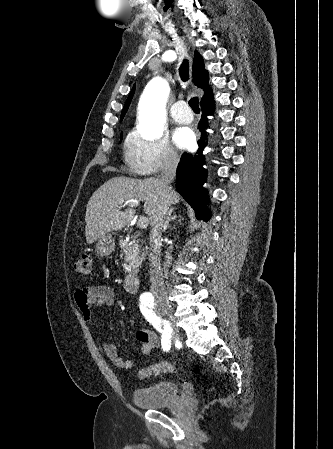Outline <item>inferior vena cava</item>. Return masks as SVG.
Here are the masks:
<instances>
[{
	"mask_svg": "<svg viewBox=\"0 0 333 449\" xmlns=\"http://www.w3.org/2000/svg\"><path fill=\"white\" fill-rule=\"evenodd\" d=\"M179 159L175 155L170 156L164 172L161 175V188L162 193L160 197V203L158 205V211L155 215L152 223V231L150 233V282L151 292L156 298L165 296V286L163 282V269L160 264L161 260V238L162 228L164 226V220L166 218L169 209V193L170 183L174 180L176 175V169Z\"/></svg>",
	"mask_w": 333,
	"mask_h": 449,
	"instance_id": "obj_1",
	"label": "inferior vena cava"
}]
</instances>
